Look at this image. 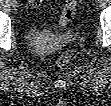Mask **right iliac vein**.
<instances>
[{
    "instance_id": "63e3f726",
    "label": "right iliac vein",
    "mask_w": 111,
    "mask_h": 106,
    "mask_svg": "<svg viewBox=\"0 0 111 106\" xmlns=\"http://www.w3.org/2000/svg\"><path fill=\"white\" fill-rule=\"evenodd\" d=\"M10 3H11V5H12L13 7H15L16 4H17V2H16L15 0L10 1Z\"/></svg>"
}]
</instances>
